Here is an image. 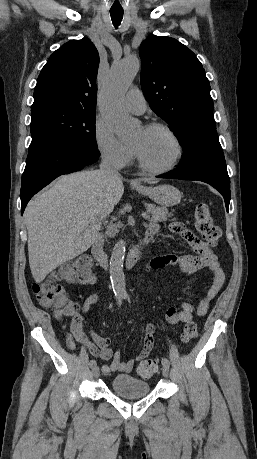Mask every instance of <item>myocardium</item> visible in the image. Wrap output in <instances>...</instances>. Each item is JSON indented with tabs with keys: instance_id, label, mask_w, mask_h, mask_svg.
I'll return each mask as SVG.
<instances>
[{
	"instance_id": "f54148a6",
	"label": "myocardium",
	"mask_w": 257,
	"mask_h": 459,
	"mask_svg": "<svg viewBox=\"0 0 257 459\" xmlns=\"http://www.w3.org/2000/svg\"><path fill=\"white\" fill-rule=\"evenodd\" d=\"M143 128L146 130L161 129L165 131L171 137V139L173 140L176 146V154L173 160L168 165L164 167H153L145 162L139 150L135 146H133L134 153L136 155V158L138 160L140 167L144 169L145 171L154 173V174H163V173H167L173 170L177 166V164L180 162L183 156V145L179 137L177 136V134L168 125L161 123V122H151V123L144 125Z\"/></svg>"
}]
</instances>
